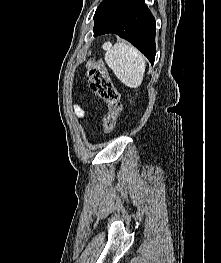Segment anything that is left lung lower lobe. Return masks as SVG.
<instances>
[{
	"label": "left lung lower lobe",
	"mask_w": 221,
	"mask_h": 263,
	"mask_svg": "<svg viewBox=\"0 0 221 263\" xmlns=\"http://www.w3.org/2000/svg\"><path fill=\"white\" fill-rule=\"evenodd\" d=\"M94 35L115 33L154 63L155 19L144 0H103L94 15Z\"/></svg>",
	"instance_id": "0a47b994"
}]
</instances>
